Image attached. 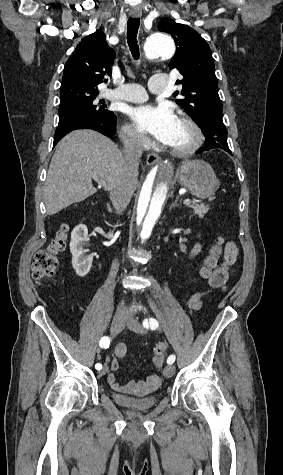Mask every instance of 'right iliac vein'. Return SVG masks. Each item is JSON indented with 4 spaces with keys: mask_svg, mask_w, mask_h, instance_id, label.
<instances>
[{
    "mask_svg": "<svg viewBox=\"0 0 283 475\" xmlns=\"http://www.w3.org/2000/svg\"><path fill=\"white\" fill-rule=\"evenodd\" d=\"M125 321H126L125 313H117L114 316L111 323V332L113 335L119 333L123 329ZM107 371H108V367L104 365L102 370L99 372V375L104 376L107 373Z\"/></svg>",
    "mask_w": 283,
    "mask_h": 475,
    "instance_id": "right-iliac-vein-1",
    "label": "right iliac vein"
}]
</instances>
